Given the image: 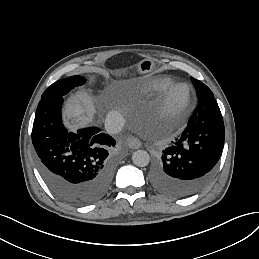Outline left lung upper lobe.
<instances>
[{"mask_svg":"<svg viewBox=\"0 0 259 259\" xmlns=\"http://www.w3.org/2000/svg\"><path fill=\"white\" fill-rule=\"evenodd\" d=\"M191 80L196 88V91H197V95H198V98L199 97H202V96H205V95H209V94H212V91L205 85L203 84L201 81L191 77Z\"/></svg>","mask_w":259,"mask_h":259,"instance_id":"obj_1","label":"left lung upper lobe"}]
</instances>
